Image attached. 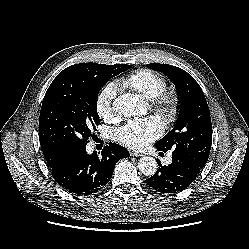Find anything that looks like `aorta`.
I'll use <instances>...</instances> for the list:
<instances>
[{
	"label": "aorta",
	"instance_id": "1",
	"mask_svg": "<svg viewBox=\"0 0 249 249\" xmlns=\"http://www.w3.org/2000/svg\"><path fill=\"white\" fill-rule=\"evenodd\" d=\"M113 110L121 116L131 117L144 112V105L137 95L122 94L113 102ZM138 168L145 176H152L156 173L158 164L153 157H142L138 162Z\"/></svg>",
	"mask_w": 249,
	"mask_h": 249
}]
</instances>
